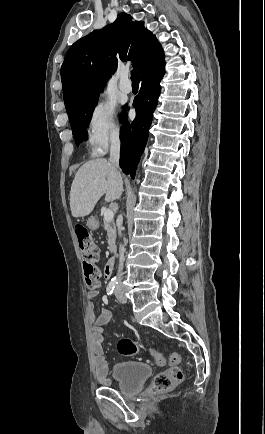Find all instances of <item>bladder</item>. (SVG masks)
Instances as JSON below:
<instances>
[{"mask_svg": "<svg viewBox=\"0 0 265 434\" xmlns=\"http://www.w3.org/2000/svg\"><path fill=\"white\" fill-rule=\"evenodd\" d=\"M151 373L152 369L148 364L137 361L117 363L111 370L120 393L126 396L138 393Z\"/></svg>", "mask_w": 265, "mask_h": 434, "instance_id": "1", "label": "bladder"}]
</instances>
